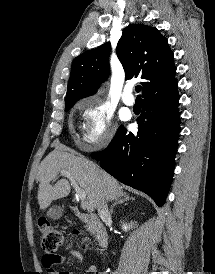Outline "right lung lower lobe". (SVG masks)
I'll return each mask as SVG.
<instances>
[{"instance_id": "right-lung-lower-lobe-1", "label": "right lung lower lobe", "mask_w": 215, "mask_h": 274, "mask_svg": "<svg viewBox=\"0 0 215 274\" xmlns=\"http://www.w3.org/2000/svg\"><path fill=\"white\" fill-rule=\"evenodd\" d=\"M177 84L143 99L136 135L120 127L109 146L93 155L120 182L165 202L175 167L180 132Z\"/></svg>"}]
</instances>
